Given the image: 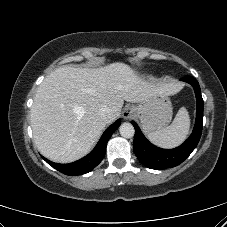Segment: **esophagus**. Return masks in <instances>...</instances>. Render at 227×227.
I'll return each instance as SVG.
<instances>
[{
  "mask_svg": "<svg viewBox=\"0 0 227 227\" xmlns=\"http://www.w3.org/2000/svg\"><path fill=\"white\" fill-rule=\"evenodd\" d=\"M134 115V109L132 107H126L123 110L122 116L125 120L132 118Z\"/></svg>",
  "mask_w": 227,
  "mask_h": 227,
  "instance_id": "34e87169",
  "label": "esophagus"
}]
</instances>
